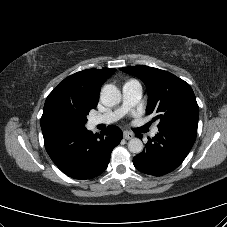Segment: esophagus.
<instances>
[{"instance_id":"obj_1","label":"esophagus","mask_w":227,"mask_h":227,"mask_svg":"<svg viewBox=\"0 0 227 227\" xmlns=\"http://www.w3.org/2000/svg\"><path fill=\"white\" fill-rule=\"evenodd\" d=\"M123 137L126 140H130V139L134 138V135L132 133H129V132L125 131L124 134H123Z\"/></svg>"}]
</instances>
